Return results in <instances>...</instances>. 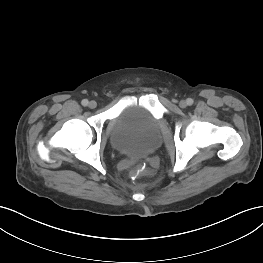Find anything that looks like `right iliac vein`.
Returning <instances> with one entry per match:
<instances>
[{"mask_svg":"<svg viewBox=\"0 0 263 263\" xmlns=\"http://www.w3.org/2000/svg\"><path fill=\"white\" fill-rule=\"evenodd\" d=\"M88 106L89 108L94 109L97 106V103L95 101H90Z\"/></svg>","mask_w":263,"mask_h":263,"instance_id":"63e3f726","label":"right iliac vein"}]
</instances>
